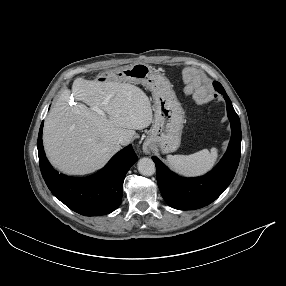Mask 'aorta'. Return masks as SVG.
Returning <instances> with one entry per match:
<instances>
[{"label": "aorta", "mask_w": 286, "mask_h": 286, "mask_svg": "<svg viewBox=\"0 0 286 286\" xmlns=\"http://www.w3.org/2000/svg\"><path fill=\"white\" fill-rule=\"evenodd\" d=\"M138 171L144 176H151L155 173V164L150 158H141L137 164Z\"/></svg>", "instance_id": "aorta-1"}]
</instances>
